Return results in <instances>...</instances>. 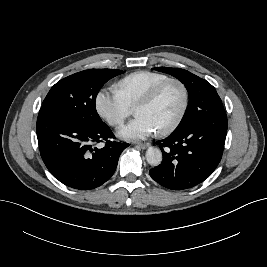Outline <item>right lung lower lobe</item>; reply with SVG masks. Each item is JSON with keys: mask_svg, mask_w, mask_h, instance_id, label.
Wrapping results in <instances>:
<instances>
[{"mask_svg": "<svg viewBox=\"0 0 267 267\" xmlns=\"http://www.w3.org/2000/svg\"><path fill=\"white\" fill-rule=\"evenodd\" d=\"M41 157L51 174L64 185L91 190L114 174L126 142L112 141L114 134L103 124L87 125L60 110L42 106L37 118ZM105 141L103 148L95 145Z\"/></svg>", "mask_w": 267, "mask_h": 267, "instance_id": "right-lung-lower-lobe-1", "label": "right lung lower lobe"}]
</instances>
